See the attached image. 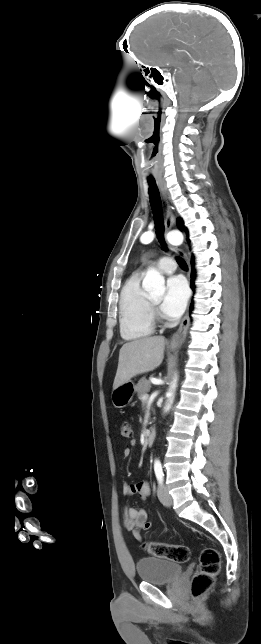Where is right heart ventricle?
Returning <instances> with one entry per match:
<instances>
[{"mask_svg": "<svg viewBox=\"0 0 261 644\" xmlns=\"http://www.w3.org/2000/svg\"><path fill=\"white\" fill-rule=\"evenodd\" d=\"M140 281V273L132 274L124 283L120 293V334L128 341L148 337L154 332L150 298L141 287Z\"/></svg>", "mask_w": 261, "mask_h": 644, "instance_id": "1", "label": "right heart ventricle"}]
</instances>
